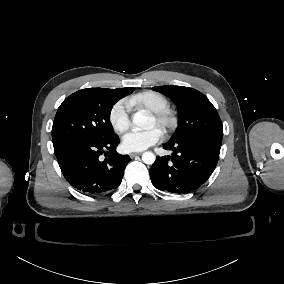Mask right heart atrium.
<instances>
[{
    "label": "right heart atrium",
    "instance_id": "1",
    "mask_svg": "<svg viewBox=\"0 0 284 284\" xmlns=\"http://www.w3.org/2000/svg\"><path fill=\"white\" fill-rule=\"evenodd\" d=\"M132 101L128 98H122L116 101L109 112V123L114 131L122 132L129 124V112Z\"/></svg>",
    "mask_w": 284,
    "mask_h": 284
}]
</instances>
